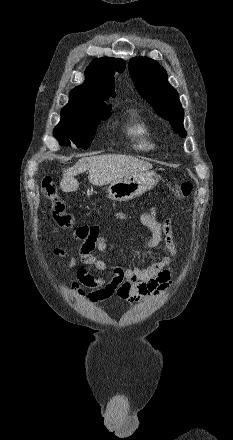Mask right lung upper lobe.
<instances>
[{
	"label": "right lung upper lobe",
	"instance_id": "right-lung-upper-lobe-1",
	"mask_svg": "<svg viewBox=\"0 0 233 440\" xmlns=\"http://www.w3.org/2000/svg\"><path fill=\"white\" fill-rule=\"evenodd\" d=\"M126 64L122 59L99 58L93 61L86 72L85 82L72 90L66 106L102 107L103 101L115 96V71L122 73Z\"/></svg>",
	"mask_w": 233,
	"mask_h": 440
}]
</instances>
